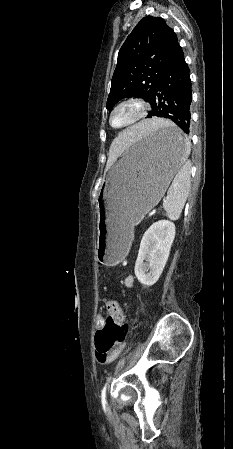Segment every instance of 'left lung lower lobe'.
Masks as SVG:
<instances>
[{
  "mask_svg": "<svg viewBox=\"0 0 233 449\" xmlns=\"http://www.w3.org/2000/svg\"><path fill=\"white\" fill-rule=\"evenodd\" d=\"M192 90L189 68L184 53L165 71L153 93L152 116L168 118L182 130L181 134L162 133L159 140L170 148L179 149L188 142L185 134L190 132Z\"/></svg>",
  "mask_w": 233,
  "mask_h": 449,
  "instance_id": "left-lung-lower-lobe-1",
  "label": "left lung lower lobe"
}]
</instances>
